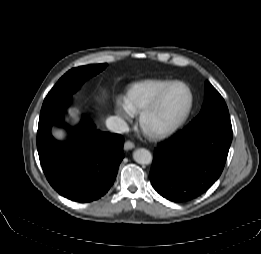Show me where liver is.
<instances>
[{"instance_id":"obj_1","label":"liver","mask_w":261,"mask_h":254,"mask_svg":"<svg viewBox=\"0 0 261 254\" xmlns=\"http://www.w3.org/2000/svg\"><path fill=\"white\" fill-rule=\"evenodd\" d=\"M69 114H70V116H71L72 118L76 119V114H75L74 112L69 111ZM54 135H55L57 138H62V137H63V134H62V132H60V131H55V132H54Z\"/></svg>"}]
</instances>
